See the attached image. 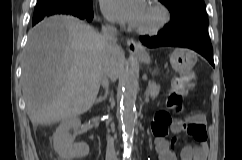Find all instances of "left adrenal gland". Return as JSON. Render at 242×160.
Returning <instances> with one entry per match:
<instances>
[{"mask_svg": "<svg viewBox=\"0 0 242 160\" xmlns=\"http://www.w3.org/2000/svg\"><path fill=\"white\" fill-rule=\"evenodd\" d=\"M148 95H146V101H148V97H147Z\"/></svg>", "mask_w": 242, "mask_h": 160, "instance_id": "obj_1", "label": "left adrenal gland"}]
</instances>
